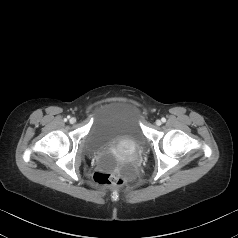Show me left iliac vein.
<instances>
[{
    "instance_id": "4c4485c4",
    "label": "left iliac vein",
    "mask_w": 238,
    "mask_h": 238,
    "mask_svg": "<svg viewBox=\"0 0 238 238\" xmlns=\"http://www.w3.org/2000/svg\"><path fill=\"white\" fill-rule=\"evenodd\" d=\"M161 120H156V125L160 126L161 125Z\"/></svg>"
}]
</instances>
